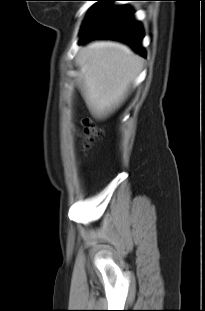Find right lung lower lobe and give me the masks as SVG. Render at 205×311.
<instances>
[{"label":"right lung lower lobe","mask_w":205,"mask_h":311,"mask_svg":"<svg viewBox=\"0 0 205 311\" xmlns=\"http://www.w3.org/2000/svg\"><path fill=\"white\" fill-rule=\"evenodd\" d=\"M100 4L92 8L82 27L80 44L92 39L109 38L130 45L145 57L141 48L143 30L140 23L132 19L133 12L127 6L110 7L116 0H99Z\"/></svg>","instance_id":"1"}]
</instances>
